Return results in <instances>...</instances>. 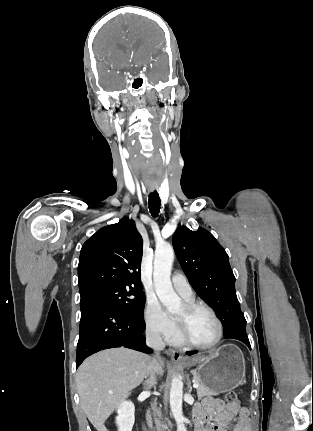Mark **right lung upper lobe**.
<instances>
[{
  "instance_id": "obj_1",
  "label": "right lung upper lobe",
  "mask_w": 313,
  "mask_h": 431,
  "mask_svg": "<svg viewBox=\"0 0 313 431\" xmlns=\"http://www.w3.org/2000/svg\"><path fill=\"white\" fill-rule=\"evenodd\" d=\"M142 248V237L134 221L128 218L98 230L83 244L80 252V296L112 286L141 287Z\"/></svg>"
}]
</instances>
